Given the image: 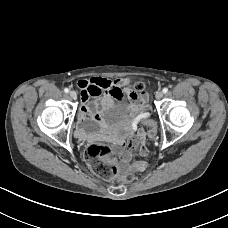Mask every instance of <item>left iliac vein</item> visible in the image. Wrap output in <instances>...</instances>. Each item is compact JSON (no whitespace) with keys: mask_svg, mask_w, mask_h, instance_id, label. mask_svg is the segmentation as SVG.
I'll list each match as a JSON object with an SVG mask.
<instances>
[{"mask_svg":"<svg viewBox=\"0 0 228 228\" xmlns=\"http://www.w3.org/2000/svg\"><path fill=\"white\" fill-rule=\"evenodd\" d=\"M155 97L157 100H160L163 97V92H161V91L156 92Z\"/></svg>","mask_w":228,"mask_h":228,"instance_id":"left-iliac-vein-1","label":"left iliac vein"}]
</instances>
